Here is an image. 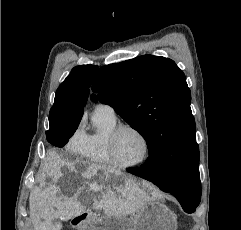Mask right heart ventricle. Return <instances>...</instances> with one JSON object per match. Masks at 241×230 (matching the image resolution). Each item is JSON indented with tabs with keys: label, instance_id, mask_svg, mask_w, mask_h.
<instances>
[{
	"label": "right heart ventricle",
	"instance_id": "right-heart-ventricle-1",
	"mask_svg": "<svg viewBox=\"0 0 241 230\" xmlns=\"http://www.w3.org/2000/svg\"><path fill=\"white\" fill-rule=\"evenodd\" d=\"M93 131L85 134L83 148L78 152L86 160L97 163L112 165L107 151V137L109 132L118 124L115 114L95 111L92 116Z\"/></svg>",
	"mask_w": 241,
	"mask_h": 230
}]
</instances>
